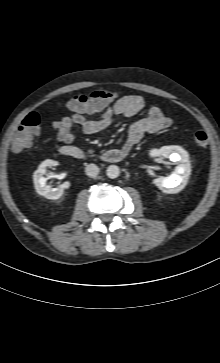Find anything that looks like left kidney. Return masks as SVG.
<instances>
[{"label":"left kidney","mask_w":220,"mask_h":363,"mask_svg":"<svg viewBox=\"0 0 220 363\" xmlns=\"http://www.w3.org/2000/svg\"><path fill=\"white\" fill-rule=\"evenodd\" d=\"M150 155L152 157L163 156L177 164L170 176L154 179L153 184L165 193L180 192L186 186L191 173L188 153L179 146H164L159 150H151Z\"/></svg>","instance_id":"5707ae66"}]
</instances>
